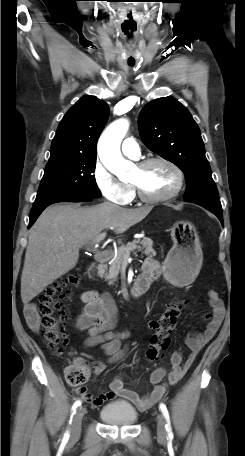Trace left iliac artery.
Instances as JSON below:
<instances>
[{
    "instance_id": "left-iliac-artery-1",
    "label": "left iliac artery",
    "mask_w": 245,
    "mask_h": 456,
    "mask_svg": "<svg viewBox=\"0 0 245 456\" xmlns=\"http://www.w3.org/2000/svg\"><path fill=\"white\" fill-rule=\"evenodd\" d=\"M160 409L166 419V422L167 424L165 425V428L168 432V435L169 437H172V429H171V425H170V418H169V413H168V410H167V407L166 405H164L163 403L160 404Z\"/></svg>"
}]
</instances>
